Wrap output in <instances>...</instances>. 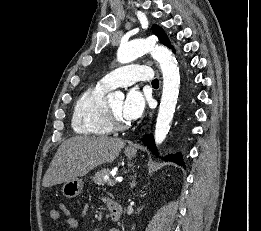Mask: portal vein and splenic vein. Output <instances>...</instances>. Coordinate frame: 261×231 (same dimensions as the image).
<instances>
[{
	"mask_svg": "<svg viewBox=\"0 0 261 231\" xmlns=\"http://www.w3.org/2000/svg\"><path fill=\"white\" fill-rule=\"evenodd\" d=\"M105 179H108V185L109 186H115L117 184V182L122 181V178L110 180L109 177H105Z\"/></svg>",
	"mask_w": 261,
	"mask_h": 231,
	"instance_id": "18ae733b",
	"label": "portal vein and splenic vein"
}]
</instances>
